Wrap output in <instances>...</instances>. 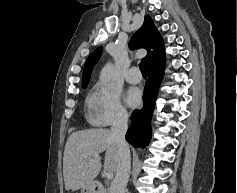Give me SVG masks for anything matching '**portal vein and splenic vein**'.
I'll use <instances>...</instances> for the list:
<instances>
[{"instance_id": "portal-vein-and-splenic-vein-1", "label": "portal vein and splenic vein", "mask_w": 237, "mask_h": 193, "mask_svg": "<svg viewBox=\"0 0 237 193\" xmlns=\"http://www.w3.org/2000/svg\"><path fill=\"white\" fill-rule=\"evenodd\" d=\"M95 158H100V156L99 155H95L94 156ZM85 158H87V156H85ZM113 172H107L106 173V177H107V179H112L113 178Z\"/></svg>"}]
</instances>
